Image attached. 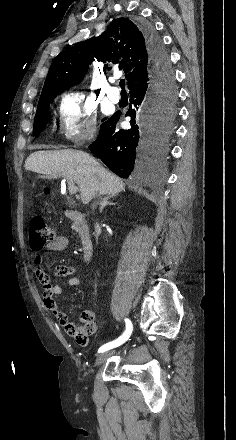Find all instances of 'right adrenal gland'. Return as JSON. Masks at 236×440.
Wrapping results in <instances>:
<instances>
[{
    "label": "right adrenal gland",
    "instance_id": "2a0ac1e0",
    "mask_svg": "<svg viewBox=\"0 0 236 440\" xmlns=\"http://www.w3.org/2000/svg\"><path fill=\"white\" fill-rule=\"evenodd\" d=\"M116 197L115 195H108L103 198L102 202L100 203V213L103 211V209L108 205H114L115 203L111 202L110 199Z\"/></svg>",
    "mask_w": 236,
    "mask_h": 440
}]
</instances>
